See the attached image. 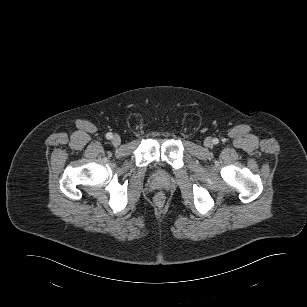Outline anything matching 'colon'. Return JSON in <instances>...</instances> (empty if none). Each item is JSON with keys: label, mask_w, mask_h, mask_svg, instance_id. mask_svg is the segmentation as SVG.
Listing matches in <instances>:
<instances>
[{"label": "colon", "mask_w": 307, "mask_h": 307, "mask_svg": "<svg viewBox=\"0 0 307 307\" xmlns=\"http://www.w3.org/2000/svg\"><path fill=\"white\" fill-rule=\"evenodd\" d=\"M164 198H165L164 195L161 194V193H159V194L157 195V197H156V199H157L158 202L164 201Z\"/></svg>", "instance_id": "1"}]
</instances>
